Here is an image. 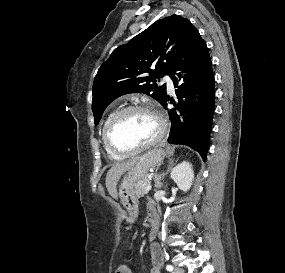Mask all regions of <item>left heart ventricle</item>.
<instances>
[{"label": "left heart ventricle", "instance_id": "b2bd125f", "mask_svg": "<svg viewBox=\"0 0 285 273\" xmlns=\"http://www.w3.org/2000/svg\"><path fill=\"white\" fill-rule=\"evenodd\" d=\"M158 132V124L147 112L133 111L122 116L112 132L114 143L125 149L142 145L152 140Z\"/></svg>", "mask_w": 285, "mask_h": 273}]
</instances>
